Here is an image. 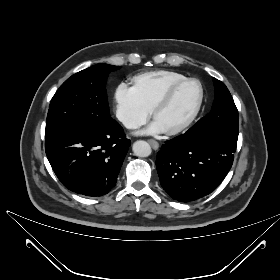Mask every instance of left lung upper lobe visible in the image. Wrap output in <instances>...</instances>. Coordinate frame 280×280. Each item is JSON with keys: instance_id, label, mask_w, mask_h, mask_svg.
I'll return each instance as SVG.
<instances>
[{"instance_id": "left-lung-upper-lobe-1", "label": "left lung upper lobe", "mask_w": 280, "mask_h": 280, "mask_svg": "<svg viewBox=\"0 0 280 280\" xmlns=\"http://www.w3.org/2000/svg\"><path fill=\"white\" fill-rule=\"evenodd\" d=\"M212 79L215 86V100L211 112L201 118L187 133H209L237 145L239 134L238 110L225 84L216 78Z\"/></svg>"}]
</instances>
